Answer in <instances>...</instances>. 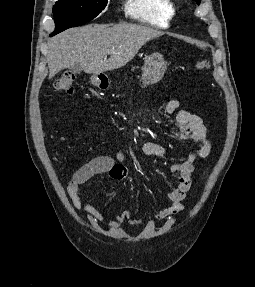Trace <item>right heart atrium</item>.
Segmentation results:
<instances>
[{
    "label": "right heart atrium",
    "instance_id": "1",
    "mask_svg": "<svg viewBox=\"0 0 255 287\" xmlns=\"http://www.w3.org/2000/svg\"><path fill=\"white\" fill-rule=\"evenodd\" d=\"M107 48H126V47H107Z\"/></svg>",
    "mask_w": 255,
    "mask_h": 287
}]
</instances>
